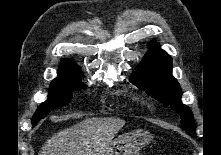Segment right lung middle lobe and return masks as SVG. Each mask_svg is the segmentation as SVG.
I'll list each match as a JSON object with an SVG mask.
<instances>
[{
  "instance_id": "obj_1",
  "label": "right lung middle lobe",
  "mask_w": 221,
  "mask_h": 155,
  "mask_svg": "<svg viewBox=\"0 0 221 155\" xmlns=\"http://www.w3.org/2000/svg\"><path fill=\"white\" fill-rule=\"evenodd\" d=\"M81 71L59 75L50 85L48 99L43 102L36 110L32 118V126L46 117L53 109L68 103L72 97L73 90H81L82 85Z\"/></svg>"
}]
</instances>
